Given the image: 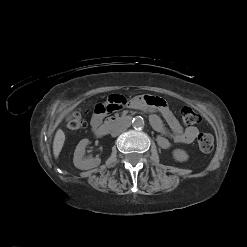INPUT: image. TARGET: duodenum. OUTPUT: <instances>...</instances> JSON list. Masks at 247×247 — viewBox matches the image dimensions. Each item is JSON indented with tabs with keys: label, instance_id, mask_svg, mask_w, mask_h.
Instances as JSON below:
<instances>
[{
	"label": "duodenum",
	"instance_id": "duodenum-1",
	"mask_svg": "<svg viewBox=\"0 0 247 247\" xmlns=\"http://www.w3.org/2000/svg\"><path fill=\"white\" fill-rule=\"evenodd\" d=\"M132 121L130 115H124L119 117H111L107 119L103 124H99L94 128V133L97 137H103L106 135L113 127L118 125H128Z\"/></svg>",
	"mask_w": 247,
	"mask_h": 247
}]
</instances>
